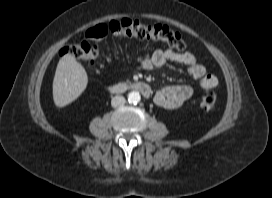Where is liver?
<instances>
[{
  "mask_svg": "<svg viewBox=\"0 0 272 198\" xmlns=\"http://www.w3.org/2000/svg\"><path fill=\"white\" fill-rule=\"evenodd\" d=\"M88 76L84 67L71 54L58 62L53 79V100L57 107H64L76 100L85 90Z\"/></svg>",
  "mask_w": 272,
  "mask_h": 198,
  "instance_id": "liver-1",
  "label": "liver"
}]
</instances>
